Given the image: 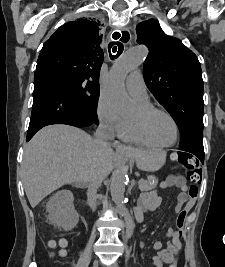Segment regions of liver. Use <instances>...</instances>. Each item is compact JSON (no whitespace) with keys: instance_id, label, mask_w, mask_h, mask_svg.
<instances>
[{"instance_id":"obj_1","label":"liver","mask_w":225,"mask_h":267,"mask_svg":"<svg viewBox=\"0 0 225 267\" xmlns=\"http://www.w3.org/2000/svg\"><path fill=\"white\" fill-rule=\"evenodd\" d=\"M146 154L131 150L127 159L146 170ZM114 152H100L95 139L81 129L55 124L41 129L25 146L23 185L32 208L65 184L87 182L97 166L112 170Z\"/></svg>"}]
</instances>
